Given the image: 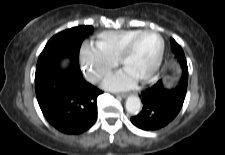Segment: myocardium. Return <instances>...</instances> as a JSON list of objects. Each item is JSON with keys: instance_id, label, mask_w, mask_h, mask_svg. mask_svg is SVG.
Masks as SVG:
<instances>
[{"instance_id": "obj_1", "label": "myocardium", "mask_w": 225, "mask_h": 155, "mask_svg": "<svg viewBox=\"0 0 225 155\" xmlns=\"http://www.w3.org/2000/svg\"><path fill=\"white\" fill-rule=\"evenodd\" d=\"M146 34H155L156 36H158V38L160 40V50H159V54H158L155 64L153 65L151 70L143 78L140 79L141 82H147L150 79H152L155 76V74L158 72V70L162 64V61L164 58V52H165V41H164L163 36L156 30H152V29L141 30L125 44V46L123 47V49L119 55V58H118L119 64L121 66H123L125 60L133 51L137 41Z\"/></svg>"}]
</instances>
